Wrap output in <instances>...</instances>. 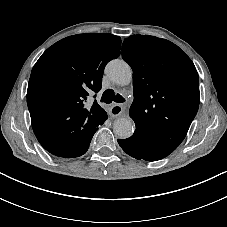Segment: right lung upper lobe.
Listing matches in <instances>:
<instances>
[{
  "instance_id": "obj_1",
  "label": "right lung upper lobe",
  "mask_w": 227,
  "mask_h": 227,
  "mask_svg": "<svg viewBox=\"0 0 227 227\" xmlns=\"http://www.w3.org/2000/svg\"><path fill=\"white\" fill-rule=\"evenodd\" d=\"M121 38L112 34H78L49 47L34 65L27 91L32 128L49 152L79 155L98 126L108 118L95 100L106 64L119 56Z\"/></svg>"
}]
</instances>
